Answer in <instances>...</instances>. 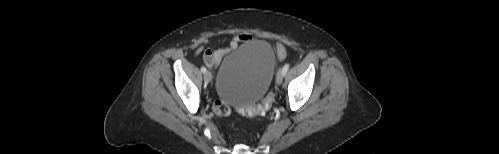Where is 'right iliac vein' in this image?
<instances>
[{
    "instance_id": "1",
    "label": "right iliac vein",
    "mask_w": 499,
    "mask_h": 154,
    "mask_svg": "<svg viewBox=\"0 0 499 154\" xmlns=\"http://www.w3.org/2000/svg\"><path fill=\"white\" fill-rule=\"evenodd\" d=\"M204 81L208 84L211 81V73L209 71L204 72Z\"/></svg>"
}]
</instances>
